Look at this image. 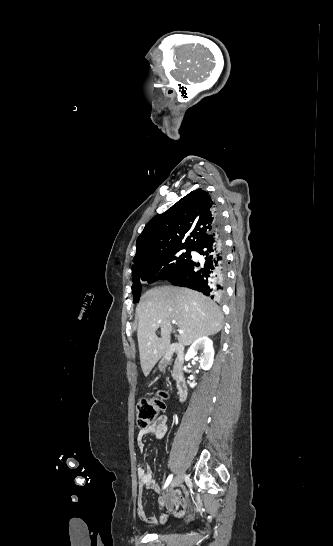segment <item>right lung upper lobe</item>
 Masks as SVG:
<instances>
[{
    "instance_id": "cb5924a9",
    "label": "right lung upper lobe",
    "mask_w": 333,
    "mask_h": 546,
    "mask_svg": "<svg viewBox=\"0 0 333 546\" xmlns=\"http://www.w3.org/2000/svg\"><path fill=\"white\" fill-rule=\"evenodd\" d=\"M215 213L214 199L206 191L197 189L153 217L137 239L132 274L151 268L167 251L194 247L215 229Z\"/></svg>"
}]
</instances>
